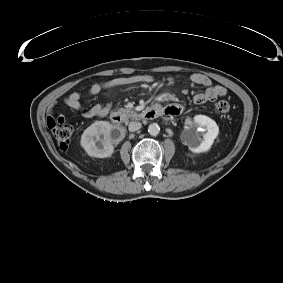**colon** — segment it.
Masks as SVG:
<instances>
[{"label":"colon","instance_id":"colon-1","mask_svg":"<svg viewBox=\"0 0 283 283\" xmlns=\"http://www.w3.org/2000/svg\"><path fill=\"white\" fill-rule=\"evenodd\" d=\"M230 110V105L226 100H218L214 105V111L218 115H226ZM53 134L60 146H68L72 137V128L68 124L54 125Z\"/></svg>","mask_w":283,"mask_h":283}]
</instances>
